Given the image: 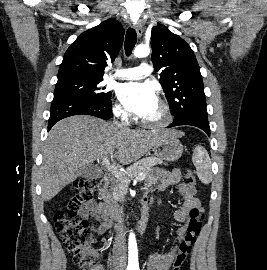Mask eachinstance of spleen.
<instances>
[{"label":"spleen","mask_w":267,"mask_h":270,"mask_svg":"<svg viewBox=\"0 0 267 270\" xmlns=\"http://www.w3.org/2000/svg\"><path fill=\"white\" fill-rule=\"evenodd\" d=\"M192 161L196 167L199 180L203 184H209L212 181V163L207 150L203 146L198 145L194 149Z\"/></svg>","instance_id":"obj_1"}]
</instances>
